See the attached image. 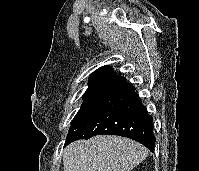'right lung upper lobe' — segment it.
Returning a JSON list of instances; mask_svg holds the SVG:
<instances>
[{
	"instance_id": "obj_1",
	"label": "right lung upper lobe",
	"mask_w": 199,
	"mask_h": 171,
	"mask_svg": "<svg viewBox=\"0 0 199 171\" xmlns=\"http://www.w3.org/2000/svg\"><path fill=\"white\" fill-rule=\"evenodd\" d=\"M99 76H112L116 77L117 75L114 73L113 69L110 66H103L96 71H94L90 78L99 77Z\"/></svg>"
}]
</instances>
